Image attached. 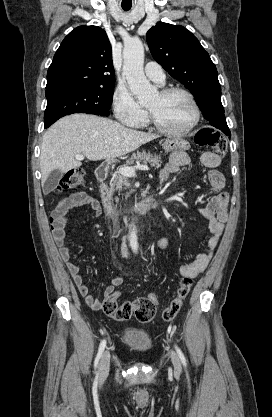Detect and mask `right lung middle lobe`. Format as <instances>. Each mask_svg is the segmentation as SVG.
<instances>
[{
  "mask_svg": "<svg viewBox=\"0 0 272 417\" xmlns=\"http://www.w3.org/2000/svg\"><path fill=\"white\" fill-rule=\"evenodd\" d=\"M113 92L114 85L104 88H59L46 91L45 126H50L59 118L73 113L108 116Z\"/></svg>",
  "mask_w": 272,
  "mask_h": 417,
  "instance_id": "obj_1",
  "label": "right lung middle lobe"
}]
</instances>
